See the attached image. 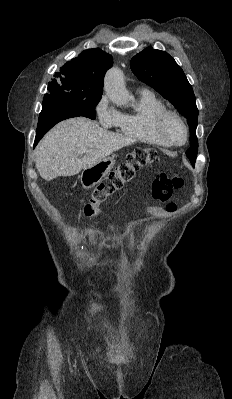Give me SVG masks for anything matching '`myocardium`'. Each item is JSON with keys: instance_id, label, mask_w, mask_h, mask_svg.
<instances>
[{"instance_id": "obj_1", "label": "myocardium", "mask_w": 232, "mask_h": 399, "mask_svg": "<svg viewBox=\"0 0 232 399\" xmlns=\"http://www.w3.org/2000/svg\"><path fill=\"white\" fill-rule=\"evenodd\" d=\"M168 117H174L175 119H177L182 126L185 129L186 132V138L182 143H177L175 142L166 132L165 129V121ZM154 128L155 131L157 132V134L159 136H161L164 140H166L169 144L171 145H176V146H180V145H184L189 138V128L187 123L185 122V120L182 118V116L177 113L176 111L170 110V109H165L163 111H161L160 113H158L154 119Z\"/></svg>"}]
</instances>
